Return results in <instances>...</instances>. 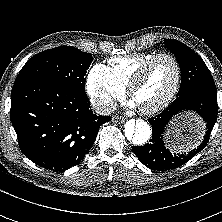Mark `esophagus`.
I'll return each mask as SVG.
<instances>
[{"instance_id": "esophagus-1", "label": "esophagus", "mask_w": 222, "mask_h": 222, "mask_svg": "<svg viewBox=\"0 0 222 222\" xmlns=\"http://www.w3.org/2000/svg\"><path fill=\"white\" fill-rule=\"evenodd\" d=\"M113 121L116 123H123L125 121V119L122 117H119V116H114Z\"/></svg>"}]
</instances>
